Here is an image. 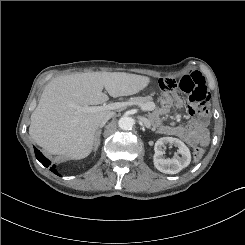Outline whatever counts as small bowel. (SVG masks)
Here are the masks:
<instances>
[{
    "instance_id": "obj_1",
    "label": "small bowel",
    "mask_w": 245,
    "mask_h": 245,
    "mask_svg": "<svg viewBox=\"0 0 245 245\" xmlns=\"http://www.w3.org/2000/svg\"><path fill=\"white\" fill-rule=\"evenodd\" d=\"M157 86L163 91L174 93L178 107L184 106V101L180 98L178 92L187 93L191 104L187 111L192 116L189 125H160L161 115L166 112V107L158 110L152 117L153 122L159 125V131L166 135H172L180 138L190 146L207 145L210 141L207 125L209 122L208 92L204 77L197 72L175 80L173 77H161L157 81Z\"/></svg>"
}]
</instances>
